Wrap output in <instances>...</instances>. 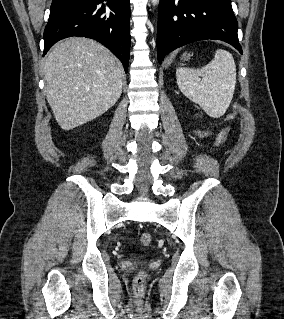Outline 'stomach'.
<instances>
[{"mask_svg": "<svg viewBox=\"0 0 284 319\" xmlns=\"http://www.w3.org/2000/svg\"><path fill=\"white\" fill-rule=\"evenodd\" d=\"M190 56H191L190 54H186V53H185V54H183V56H182L181 59H182V60H183V59L186 60V59H189Z\"/></svg>", "mask_w": 284, "mask_h": 319, "instance_id": "1", "label": "stomach"}]
</instances>
